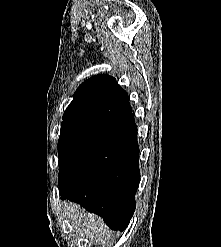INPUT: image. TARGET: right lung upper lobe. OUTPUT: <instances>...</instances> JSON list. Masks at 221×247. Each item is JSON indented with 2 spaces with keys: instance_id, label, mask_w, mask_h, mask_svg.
<instances>
[{
  "instance_id": "cb5924a9",
  "label": "right lung upper lobe",
  "mask_w": 221,
  "mask_h": 247,
  "mask_svg": "<svg viewBox=\"0 0 221 247\" xmlns=\"http://www.w3.org/2000/svg\"><path fill=\"white\" fill-rule=\"evenodd\" d=\"M132 112L128 96L115 78L107 74L85 80L63 115L61 129H88L96 124Z\"/></svg>"
}]
</instances>
